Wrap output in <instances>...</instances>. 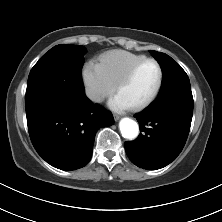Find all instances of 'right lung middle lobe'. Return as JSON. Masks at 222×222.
Instances as JSON below:
<instances>
[{"mask_svg": "<svg viewBox=\"0 0 222 222\" xmlns=\"http://www.w3.org/2000/svg\"><path fill=\"white\" fill-rule=\"evenodd\" d=\"M86 49L70 44L50 49L32 68L25 105L59 103L73 105L85 95L81 70Z\"/></svg>", "mask_w": 222, "mask_h": 222, "instance_id": "right-lung-middle-lobe-1", "label": "right lung middle lobe"}]
</instances>
